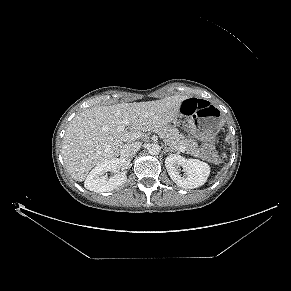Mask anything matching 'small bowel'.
<instances>
[{
	"instance_id": "obj_1",
	"label": "small bowel",
	"mask_w": 291,
	"mask_h": 291,
	"mask_svg": "<svg viewBox=\"0 0 291 291\" xmlns=\"http://www.w3.org/2000/svg\"><path fill=\"white\" fill-rule=\"evenodd\" d=\"M198 99L196 98H193V97H190V98H186L182 101L181 103V111L184 113V114H190L189 113V106L190 104L196 102Z\"/></svg>"
}]
</instances>
